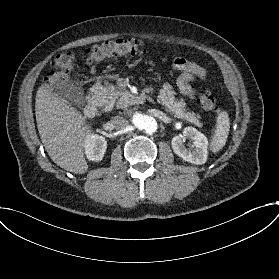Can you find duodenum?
Returning <instances> with one entry per match:
<instances>
[{"instance_id":"obj_1","label":"duodenum","mask_w":279,"mask_h":279,"mask_svg":"<svg viewBox=\"0 0 279 279\" xmlns=\"http://www.w3.org/2000/svg\"><path fill=\"white\" fill-rule=\"evenodd\" d=\"M122 100L129 104H138L144 100V95L126 92L122 95ZM97 113H98V106L96 100L89 99L87 104L85 105L84 114L87 117L91 118L96 116Z\"/></svg>"}]
</instances>
